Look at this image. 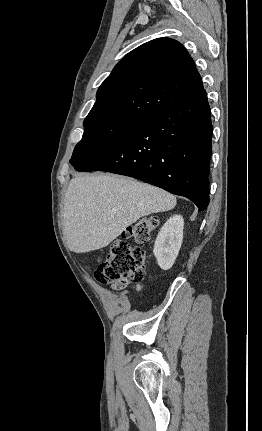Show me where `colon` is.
<instances>
[{
    "mask_svg": "<svg viewBox=\"0 0 262 431\" xmlns=\"http://www.w3.org/2000/svg\"><path fill=\"white\" fill-rule=\"evenodd\" d=\"M158 223L156 216H150L124 231L123 237L117 239L100 260L94 271L95 280L116 290L138 287L146 273V264L145 253L136 244L150 240Z\"/></svg>",
    "mask_w": 262,
    "mask_h": 431,
    "instance_id": "5ec220e1",
    "label": "colon"
}]
</instances>
